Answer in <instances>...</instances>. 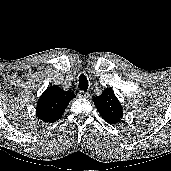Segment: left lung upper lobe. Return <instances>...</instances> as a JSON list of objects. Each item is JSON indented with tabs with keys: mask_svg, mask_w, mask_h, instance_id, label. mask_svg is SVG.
<instances>
[{
	"mask_svg": "<svg viewBox=\"0 0 171 171\" xmlns=\"http://www.w3.org/2000/svg\"><path fill=\"white\" fill-rule=\"evenodd\" d=\"M93 102L106 122L116 124L123 117L122 106L112 89L104 90L102 95L94 97Z\"/></svg>",
	"mask_w": 171,
	"mask_h": 171,
	"instance_id": "1",
	"label": "left lung upper lobe"
}]
</instances>
